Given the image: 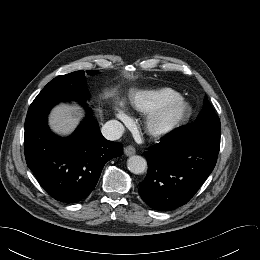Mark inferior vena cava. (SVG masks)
Masks as SVG:
<instances>
[{
  "label": "inferior vena cava",
  "mask_w": 260,
  "mask_h": 260,
  "mask_svg": "<svg viewBox=\"0 0 260 260\" xmlns=\"http://www.w3.org/2000/svg\"><path fill=\"white\" fill-rule=\"evenodd\" d=\"M101 132L107 140L114 141L123 135L124 126L117 120H110L102 126Z\"/></svg>",
  "instance_id": "1"
}]
</instances>
